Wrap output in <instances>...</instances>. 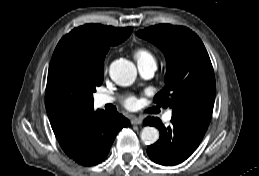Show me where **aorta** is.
Returning <instances> with one entry per match:
<instances>
[{
	"label": "aorta",
	"mask_w": 259,
	"mask_h": 176,
	"mask_svg": "<svg viewBox=\"0 0 259 176\" xmlns=\"http://www.w3.org/2000/svg\"><path fill=\"white\" fill-rule=\"evenodd\" d=\"M111 79L118 85H131L137 76L135 65L127 59L113 61L109 68ZM141 140L147 144H154L159 138V131L155 127L146 126L141 131Z\"/></svg>",
	"instance_id": "obj_1"
}]
</instances>
